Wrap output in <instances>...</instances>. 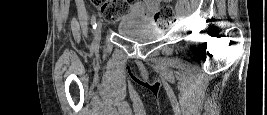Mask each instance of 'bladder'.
Wrapping results in <instances>:
<instances>
[{"instance_id": "obj_1", "label": "bladder", "mask_w": 267, "mask_h": 115, "mask_svg": "<svg viewBox=\"0 0 267 115\" xmlns=\"http://www.w3.org/2000/svg\"><path fill=\"white\" fill-rule=\"evenodd\" d=\"M117 33L129 40L148 41L159 39L164 31L154 24L145 23H123L117 27Z\"/></svg>"}]
</instances>
